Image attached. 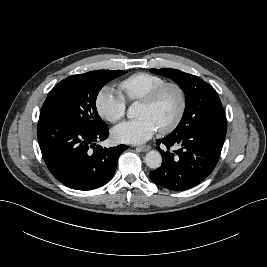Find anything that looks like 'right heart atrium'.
Masks as SVG:
<instances>
[{"instance_id":"d8ad5b80","label":"right heart atrium","mask_w":267,"mask_h":267,"mask_svg":"<svg viewBox=\"0 0 267 267\" xmlns=\"http://www.w3.org/2000/svg\"><path fill=\"white\" fill-rule=\"evenodd\" d=\"M95 107L98 114L110 123L121 120L126 113L125 99L111 87H103L96 95Z\"/></svg>"}]
</instances>
